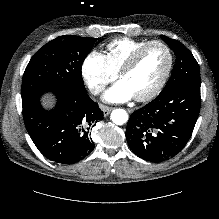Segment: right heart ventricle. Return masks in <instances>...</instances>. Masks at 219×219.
Returning <instances> with one entry per match:
<instances>
[{"instance_id":"e07e8e85","label":"right heart ventricle","mask_w":219,"mask_h":219,"mask_svg":"<svg viewBox=\"0 0 219 219\" xmlns=\"http://www.w3.org/2000/svg\"><path fill=\"white\" fill-rule=\"evenodd\" d=\"M148 41L136 40L129 37H120L106 45L105 56L111 68L118 72L125 61Z\"/></svg>"}]
</instances>
